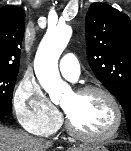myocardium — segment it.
Masks as SVG:
<instances>
[{
  "label": "myocardium",
  "mask_w": 131,
  "mask_h": 151,
  "mask_svg": "<svg viewBox=\"0 0 131 151\" xmlns=\"http://www.w3.org/2000/svg\"><path fill=\"white\" fill-rule=\"evenodd\" d=\"M74 93L77 95H86L90 93H99L105 96L110 104L112 105L114 112H115V124L113 128L107 132L106 134L102 135H93V134H88L85 132L80 131L79 129L76 128L74 123L72 122L71 118L69 115L65 113V124H66V129L69 132L70 135H72L75 138H78L80 140H85V141H90V142H105L108 141L112 138H114L117 133L119 132L122 123H123V111L122 107L116 98V96L107 88L99 85H85L77 88Z\"/></svg>",
  "instance_id": "f54148a6"
}]
</instances>
